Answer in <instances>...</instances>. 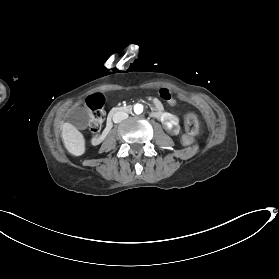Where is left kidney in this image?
Listing matches in <instances>:
<instances>
[{"mask_svg": "<svg viewBox=\"0 0 279 279\" xmlns=\"http://www.w3.org/2000/svg\"><path fill=\"white\" fill-rule=\"evenodd\" d=\"M163 124H164V127H165L166 131H168V132L174 131L175 126H174V124L172 122H170L168 120H164Z\"/></svg>", "mask_w": 279, "mask_h": 279, "instance_id": "obj_1", "label": "left kidney"}]
</instances>
